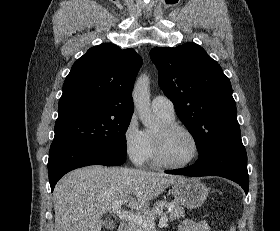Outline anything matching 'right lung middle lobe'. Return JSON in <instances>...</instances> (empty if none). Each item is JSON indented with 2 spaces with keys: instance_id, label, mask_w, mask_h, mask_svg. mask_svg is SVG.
<instances>
[{
  "instance_id": "1",
  "label": "right lung middle lobe",
  "mask_w": 280,
  "mask_h": 231,
  "mask_svg": "<svg viewBox=\"0 0 280 231\" xmlns=\"http://www.w3.org/2000/svg\"><path fill=\"white\" fill-rule=\"evenodd\" d=\"M132 116L97 115L56 120L53 142H75L126 158L125 133Z\"/></svg>"
}]
</instances>
